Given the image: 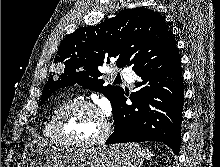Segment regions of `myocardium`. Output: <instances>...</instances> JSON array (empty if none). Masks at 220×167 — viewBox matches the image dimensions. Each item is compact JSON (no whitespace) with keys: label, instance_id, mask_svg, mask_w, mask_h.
Here are the masks:
<instances>
[{"label":"myocardium","instance_id":"myocardium-1","mask_svg":"<svg viewBox=\"0 0 220 167\" xmlns=\"http://www.w3.org/2000/svg\"><path fill=\"white\" fill-rule=\"evenodd\" d=\"M76 107H85L88 109H91L95 113H97L102 120V129L100 134L90 140H75L67 137L63 131H62V121L66 117V115L74 108ZM53 130L54 133L57 137V139L65 145L69 146H74V147H83V148H88V147H94L98 146L100 144H103L108 137L110 136L111 133V121L109 116L102 110L98 105L95 103L89 101V100H84V99H74L70 100L66 104H64L56 113L54 122H53Z\"/></svg>","mask_w":220,"mask_h":167}]
</instances>
